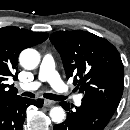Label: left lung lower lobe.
Instances as JSON below:
<instances>
[{"label":"left lung lower lobe","instance_id":"obj_1","mask_svg":"<svg viewBox=\"0 0 130 130\" xmlns=\"http://www.w3.org/2000/svg\"><path fill=\"white\" fill-rule=\"evenodd\" d=\"M60 105L67 111V119L54 125L53 130H103L115 112L101 102L84 98L81 106L75 107L74 111L67 102Z\"/></svg>","mask_w":130,"mask_h":130}]
</instances>
